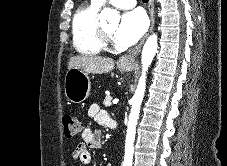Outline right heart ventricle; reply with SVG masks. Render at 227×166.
<instances>
[{"mask_svg": "<svg viewBox=\"0 0 227 166\" xmlns=\"http://www.w3.org/2000/svg\"><path fill=\"white\" fill-rule=\"evenodd\" d=\"M102 4L91 0L82 4L72 19V44L83 55H97L104 49L99 36L98 12Z\"/></svg>", "mask_w": 227, "mask_h": 166, "instance_id": "obj_1", "label": "right heart ventricle"}]
</instances>
